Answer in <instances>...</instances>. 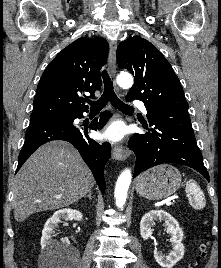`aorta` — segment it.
<instances>
[{
	"mask_svg": "<svg viewBox=\"0 0 221 268\" xmlns=\"http://www.w3.org/2000/svg\"><path fill=\"white\" fill-rule=\"evenodd\" d=\"M117 83L123 88H130L133 85V77L129 73H120L117 76ZM132 174L130 169H125L119 175L115 186L116 206L121 208L126 203L127 192L131 183Z\"/></svg>",
	"mask_w": 221,
	"mask_h": 268,
	"instance_id": "obj_1",
	"label": "aorta"
}]
</instances>
